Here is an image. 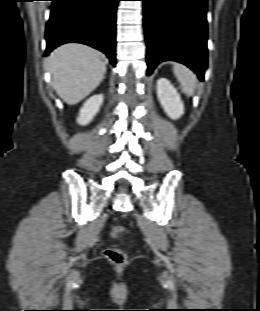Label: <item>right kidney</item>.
I'll list each match as a JSON object with an SVG mask.
<instances>
[{
	"mask_svg": "<svg viewBox=\"0 0 260 311\" xmlns=\"http://www.w3.org/2000/svg\"><path fill=\"white\" fill-rule=\"evenodd\" d=\"M103 98V94L90 97L80 109L77 123L80 125H87L89 122H91L94 116L98 113L103 103Z\"/></svg>",
	"mask_w": 260,
	"mask_h": 311,
	"instance_id": "1",
	"label": "right kidney"
}]
</instances>
